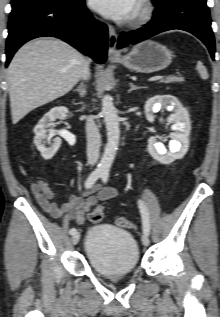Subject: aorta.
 Here are the masks:
<instances>
[{
	"mask_svg": "<svg viewBox=\"0 0 220 317\" xmlns=\"http://www.w3.org/2000/svg\"><path fill=\"white\" fill-rule=\"evenodd\" d=\"M102 114L104 116V122L107 131V144L104 148L99 169L108 171L115 158L120 139L117 109L115 108L112 98L109 95H105L102 98Z\"/></svg>",
	"mask_w": 220,
	"mask_h": 317,
	"instance_id": "obj_1",
	"label": "aorta"
}]
</instances>
